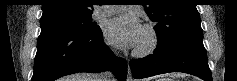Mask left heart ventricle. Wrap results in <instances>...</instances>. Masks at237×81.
<instances>
[{"label":"left heart ventricle","mask_w":237,"mask_h":81,"mask_svg":"<svg viewBox=\"0 0 237 81\" xmlns=\"http://www.w3.org/2000/svg\"><path fill=\"white\" fill-rule=\"evenodd\" d=\"M147 43H148V37H147L146 33L143 31L136 48L141 49V48L145 47L147 45Z\"/></svg>","instance_id":"1"}]
</instances>
